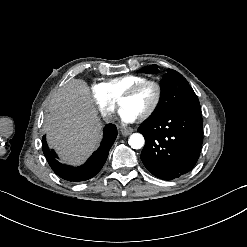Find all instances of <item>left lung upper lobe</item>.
<instances>
[{
    "instance_id": "1",
    "label": "left lung upper lobe",
    "mask_w": 247,
    "mask_h": 247,
    "mask_svg": "<svg viewBox=\"0 0 247 247\" xmlns=\"http://www.w3.org/2000/svg\"><path fill=\"white\" fill-rule=\"evenodd\" d=\"M158 72L157 65L141 68L138 73ZM177 109H191L201 111L198 97L187 80L177 71L168 69L161 80V97L157 108L148 120L160 117Z\"/></svg>"
}]
</instances>
